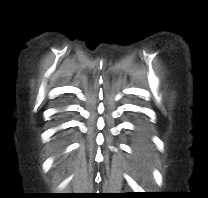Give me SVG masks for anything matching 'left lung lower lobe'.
I'll list each match as a JSON object with an SVG mask.
<instances>
[{
	"mask_svg": "<svg viewBox=\"0 0 208 198\" xmlns=\"http://www.w3.org/2000/svg\"><path fill=\"white\" fill-rule=\"evenodd\" d=\"M135 147L139 152H143L146 149V139L142 131L138 132L136 135Z\"/></svg>",
	"mask_w": 208,
	"mask_h": 198,
	"instance_id": "left-lung-lower-lobe-1",
	"label": "left lung lower lobe"
}]
</instances>
